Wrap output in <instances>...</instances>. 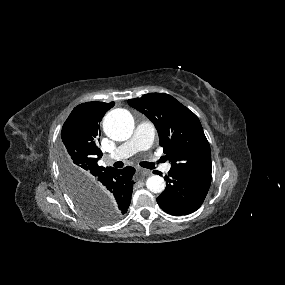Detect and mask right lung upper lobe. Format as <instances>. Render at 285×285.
<instances>
[{
    "label": "right lung upper lobe",
    "instance_id": "1",
    "mask_svg": "<svg viewBox=\"0 0 285 285\" xmlns=\"http://www.w3.org/2000/svg\"><path fill=\"white\" fill-rule=\"evenodd\" d=\"M114 104L87 102L78 105L65 121L61 131V153L80 184L93 193L94 190L89 185L95 182L97 176L113 169L98 166L97 161L103 153L97 146V140L100 136L99 123Z\"/></svg>",
    "mask_w": 285,
    "mask_h": 285
}]
</instances>
